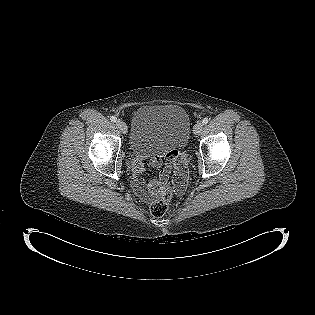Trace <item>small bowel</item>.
Wrapping results in <instances>:
<instances>
[{
  "mask_svg": "<svg viewBox=\"0 0 315 315\" xmlns=\"http://www.w3.org/2000/svg\"><path fill=\"white\" fill-rule=\"evenodd\" d=\"M168 166L161 168V158L159 156H153L151 158V164L154 168L160 169L159 175L157 178L151 180L149 183H145L142 179L141 174L144 172V165L139 158H136L132 162V170L134 177L132 180L133 188L136 194L143 200H150L152 197L159 194L163 186L167 183L169 179V167L173 165L176 168L178 175L184 174L182 169L183 161L177 155L175 150H170L168 152Z\"/></svg>",
  "mask_w": 315,
  "mask_h": 315,
  "instance_id": "obj_1",
  "label": "small bowel"
}]
</instances>
